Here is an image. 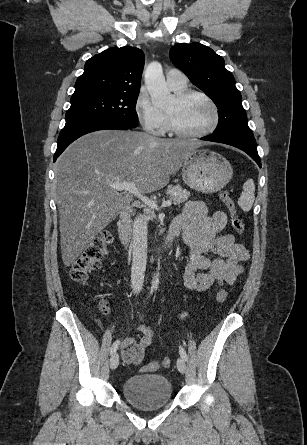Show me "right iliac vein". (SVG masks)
<instances>
[{"label":"right iliac vein","instance_id":"right-iliac-vein-1","mask_svg":"<svg viewBox=\"0 0 307 445\" xmlns=\"http://www.w3.org/2000/svg\"><path fill=\"white\" fill-rule=\"evenodd\" d=\"M119 365V355L114 353L110 359V368L112 370L116 369Z\"/></svg>","mask_w":307,"mask_h":445}]
</instances>
